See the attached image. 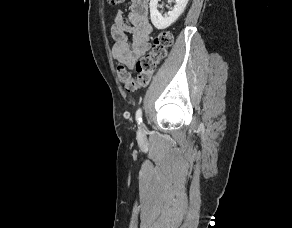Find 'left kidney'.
I'll return each instance as SVG.
<instances>
[{
    "instance_id": "obj_1",
    "label": "left kidney",
    "mask_w": 292,
    "mask_h": 228,
    "mask_svg": "<svg viewBox=\"0 0 292 228\" xmlns=\"http://www.w3.org/2000/svg\"><path fill=\"white\" fill-rule=\"evenodd\" d=\"M159 1L160 0H150V18L152 24L157 29H165L174 23L183 13L189 0H175L176 4L172 11H169L164 16H162L157 9Z\"/></svg>"
}]
</instances>
